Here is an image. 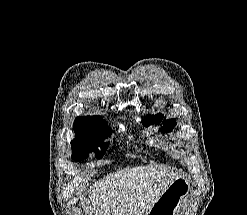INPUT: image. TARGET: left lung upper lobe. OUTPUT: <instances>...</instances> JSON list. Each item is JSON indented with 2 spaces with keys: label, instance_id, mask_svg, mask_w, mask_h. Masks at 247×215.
I'll return each instance as SVG.
<instances>
[{
  "label": "left lung upper lobe",
  "instance_id": "obj_1",
  "mask_svg": "<svg viewBox=\"0 0 247 215\" xmlns=\"http://www.w3.org/2000/svg\"><path fill=\"white\" fill-rule=\"evenodd\" d=\"M165 119V117H164ZM163 120V115L162 114H156V115H151L148 116L146 119L142 121V124L148 127L149 125L152 124H158ZM176 125V120L175 119H169V120H164L163 121V127L161 128L162 132H169L171 131L174 126Z\"/></svg>",
  "mask_w": 247,
  "mask_h": 215
}]
</instances>
